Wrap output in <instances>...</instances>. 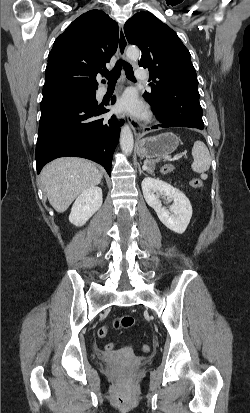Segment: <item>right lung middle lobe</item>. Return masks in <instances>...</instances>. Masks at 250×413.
I'll return each mask as SVG.
<instances>
[{
	"label": "right lung middle lobe",
	"instance_id": "obj_1",
	"mask_svg": "<svg viewBox=\"0 0 250 413\" xmlns=\"http://www.w3.org/2000/svg\"><path fill=\"white\" fill-rule=\"evenodd\" d=\"M96 92V89H72V90H64L58 91L51 94L49 97L56 98V97H67L70 95H84V96H92Z\"/></svg>",
	"mask_w": 250,
	"mask_h": 413
}]
</instances>
